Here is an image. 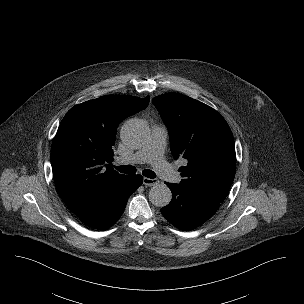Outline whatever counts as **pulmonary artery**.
<instances>
[{
  "label": "pulmonary artery",
  "mask_w": 304,
  "mask_h": 304,
  "mask_svg": "<svg viewBox=\"0 0 304 304\" xmlns=\"http://www.w3.org/2000/svg\"><path fill=\"white\" fill-rule=\"evenodd\" d=\"M167 137L168 132L165 127L153 126L147 143L134 154L119 158L118 163H150L162 179L179 183L182 179L181 175L163 156Z\"/></svg>",
  "instance_id": "1"
}]
</instances>
